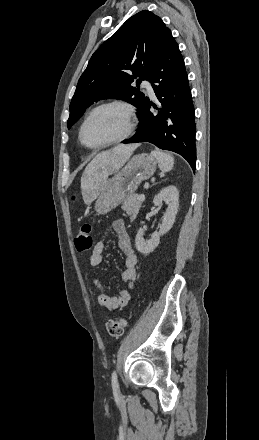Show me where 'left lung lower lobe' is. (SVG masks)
Segmentation results:
<instances>
[{
  "label": "left lung lower lobe",
  "mask_w": 259,
  "mask_h": 440,
  "mask_svg": "<svg viewBox=\"0 0 259 440\" xmlns=\"http://www.w3.org/2000/svg\"><path fill=\"white\" fill-rule=\"evenodd\" d=\"M149 81L160 104L153 105L158 111L150 112L148 102L139 116V128L124 143L150 142L163 150L183 156L193 171L196 165L195 119L188 76L179 47L169 34Z\"/></svg>",
  "instance_id": "1"
}]
</instances>
